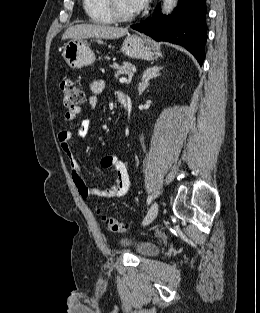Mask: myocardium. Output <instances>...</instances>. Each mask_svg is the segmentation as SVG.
I'll list each match as a JSON object with an SVG mask.
<instances>
[{
    "label": "myocardium",
    "mask_w": 260,
    "mask_h": 313,
    "mask_svg": "<svg viewBox=\"0 0 260 313\" xmlns=\"http://www.w3.org/2000/svg\"><path fill=\"white\" fill-rule=\"evenodd\" d=\"M106 6L111 18L115 21L125 22L133 20L136 17V13H121L116 7V0H106Z\"/></svg>",
    "instance_id": "obj_1"
}]
</instances>
